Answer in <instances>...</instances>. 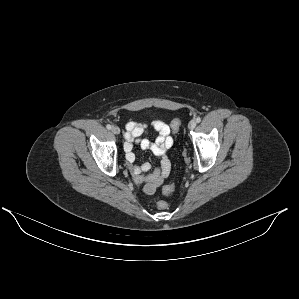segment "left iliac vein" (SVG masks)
Listing matches in <instances>:
<instances>
[{
    "instance_id": "1",
    "label": "left iliac vein",
    "mask_w": 299,
    "mask_h": 299,
    "mask_svg": "<svg viewBox=\"0 0 299 299\" xmlns=\"http://www.w3.org/2000/svg\"><path fill=\"white\" fill-rule=\"evenodd\" d=\"M196 127V121L195 120H191L188 124V128L193 130Z\"/></svg>"
}]
</instances>
